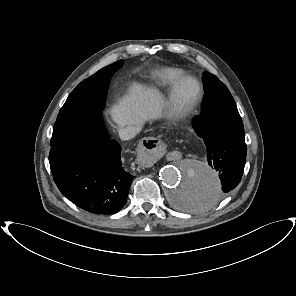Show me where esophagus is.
Instances as JSON below:
<instances>
[{"mask_svg": "<svg viewBox=\"0 0 296 296\" xmlns=\"http://www.w3.org/2000/svg\"><path fill=\"white\" fill-rule=\"evenodd\" d=\"M166 150V144L157 138H145L137 149V157L143 163H158Z\"/></svg>", "mask_w": 296, "mask_h": 296, "instance_id": "obj_1", "label": "esophagus"}]
</instances>
